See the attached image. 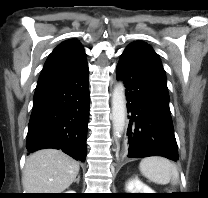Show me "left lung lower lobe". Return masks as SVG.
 Instances as JSON below:
<instances>
[{"label":"left lung lower lobe","instance_id":"left-lung-lower-lobe-1","mask_svg":"<svg viewBox=\"0 0 208 198\" xmlns=\"http://www.w3.org/2000/svg\"><path fill=\"white\" fill-rule=\"evenodd\" d=\"M116 75L125 83L127 108L131 114L127 156H162L177 161L166 78L152 47L144 42L128 45L117 64Z\"/></svg>","mask_w":208,"mask_h":198}]
</instances>
